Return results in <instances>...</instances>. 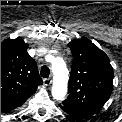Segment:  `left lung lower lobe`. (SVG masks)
<instances>
[{"label":"left lung lower lobe","mask_w":122,"mask_h":122,"mask_svg":"<svg viewBox=\"0 0 122 122\" xmlns=\"http://www.w3.org/2000/svg\"><path fill=\"white\" fill-rule=\"evenodd\" d=\"M60 107H61V109L64 110L66 113H68V114H70V115H72V116H74V117H77V118H85V117H86V116H84V115H82V114H79V113H77V112H75V111H72V110H70V109L64 107L63 105H60Z\"/></svg>","instance_id":"obj_1"}]
</instances>
